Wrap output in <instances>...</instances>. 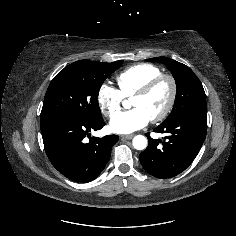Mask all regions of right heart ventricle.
I'll use <instances>...</instances> for the list:
<instances>
[{"instance_id": "1", "label": "right heart ventricle", "mask_w": 236, "mask_h": 236, "mask_svg": "<svg viewBox=\"0 0 236 236\" xmlns=\"http://www.w3.org/2000/svg\"><path fill=\"white\" fill-rule=\"evenodd\" d=\"M162 74L159 67L151 64H137L131 66L116 77L119 91L125 98L132 97L148 81Z\"/></svg>"}]
</instances>
